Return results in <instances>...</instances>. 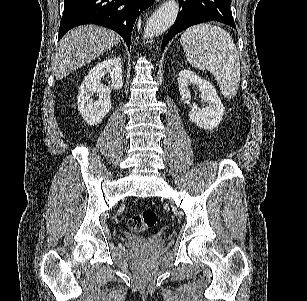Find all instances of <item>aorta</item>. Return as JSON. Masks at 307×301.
Segmentation results:
<instances>
[{"instance_id":"aorta-1","label":"aorta","mask_w":307,"mask_h":301,"mask_svg":"<svg viewBox=\"0 0 307 301\" xmlns=\"http://www.w3.org/2000/svg\"><path fill=\"white\" fill-rule=\"evenodd\" d=\"M179 12L177 0H165L146 20L143 38H154L174 24Z\"/></svg>"}]
</instances>
